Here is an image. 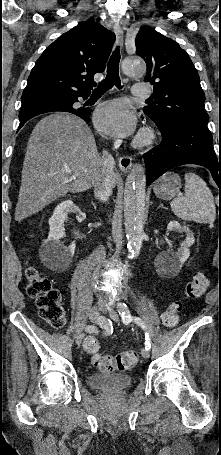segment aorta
<instances>
[{
  "label": "aorta",
  "instance_id": "aorta-1",
  "mask_svg": "<svg viewBox=\"0 0 221 455\" xmlns=\"http://www.w3.org/2000/svg\"><path fill=\"white\" fill-rule=\"evenodd\" d=\"M122 70L128 76H142L146 73V66L139 58L128 57L122 62ZM145 186V169L142 165L136 164L126 178L124 189V225L129 257L139 254L143 242Z\"/></svg>",
  "mask_w": 221,
  "mask_h": 455
}]
</instances>
